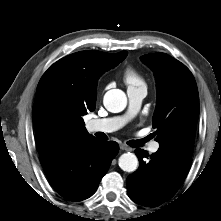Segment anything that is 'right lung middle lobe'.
<instances>
[{
    "label": "right lung middle lobe",
    "instance_id": "1",
    "mask_svg": "<svg viewBox=\"0 0 221 221\" xmlns=\"http://www.w3.org/2000/svg\"><path fill=\"white\" fill-rule=\"evenodd\" d=\"M43 85L45 87V94L43 96V99L40 103V107L42 109L53 108L58 109L60 108V102L55 94L52 93V90L57 87V83L55 79L50 76L46 77L43 80Z\"/></svg>",
    "mask_w": 221,
    "mask_h": 221
}]
</instances>
